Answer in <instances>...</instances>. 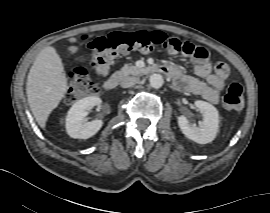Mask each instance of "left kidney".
<instances>
[{"instance_id":"left-kidney-1","label":"left kidney","mask_w":270,"mask_h":213,"mask_svg":"<svg viewBox=\"0 0 270 213\" xmlns=\"http://www.w3.org/2000/svg\"><path fill=\"white\" fill-rule=\"evenodd\" d=\"M195 106L201 112L203 120L199 125L192 124L185 116L178 117V125L182 133L190 140L207 144L212 142L219 130L218 110L208 102L197 100Z\"/></svg>"}]
</instances>
